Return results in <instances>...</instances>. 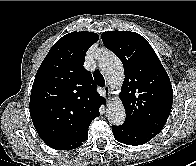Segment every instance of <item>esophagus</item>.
<instances>
[{"label": "esophagus", "mask_w": 196, "mask_h": 166, "mask_svg": "<svg viewBox=\"0 0 196 166\" xmlns=\"http://www.w3.org/2000/svg\"><path fill=\"white\" fill-rule=\"evenodd\" d=\"M104 91H105V93H106L108 99H110V98H111V94H112V90H111L109 84H106V85L104 86Z\"/></svg>", "instance_id": "obj_1"}]
</instances>
